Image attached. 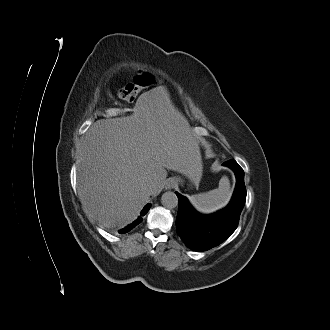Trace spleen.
Segmentation results:
<instances>
[{
  "label": "spleen",
  "mask_w": 330,
  "mask_h": 330,
  "mask_svg": "<svg viewBox=\"0 0 330 330\" xmlns=\"http://www.w3.org/2000/svg\"><path fill=\"white\" fill-rule=\"evenodd\" d=\"M231 198V187L228 177L223 176L219 187L206 193L189 197L193 207L200 213L209 214L225 207Z\"/></svg>",
  "instance_id": "3e777b00"
}]
</instances>
